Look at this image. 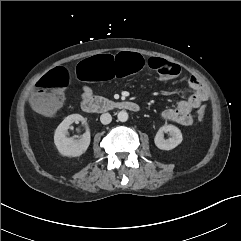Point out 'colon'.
Listing matches in <instances>:
<instances>
[{"label": "colon", "instance_id": "5ec220e1", "mask_svg": "<svg viewBox=\"0 0 241 241\" xmlns=\"http://www.w3.org/2000/svg\"><path fill=\"white\" fill-rule=\"evenodd\" d=\"M145 65L158 71L160 81L176 78L180 68L169 61L152 57L147 62L133 51H112L97 54L92 58L81 59L75 67L76 77L84 83H93L97 80L124 77L140 71ZM68 85V74L62 67H57L40 78L35 92L31 97V105L38 112L52 115L63 101V92ZM205 107L197 112L198 120L205 117Z\"/></svg>", "mask_w": 241, "mask_h": 241}]
</instances>
